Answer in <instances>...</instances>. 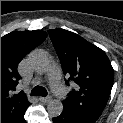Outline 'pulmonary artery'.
<instances>
[{
	"label": "pulmonary artery",
	"mask_w": 123,
	"mask_h": 123,
	"mask_svg": "<svg viewBox=\"0 0 123 123\" xmlns=\"http://www.w3.org/2000/svg\"><path fill=\"white\" fill-rule=\"evenodd\" d=\"M48 76L53 92L58 97L64 98L66 96V89L61 83L59 68L55 65L51 66L48 72Z\"/></svg>",
	"instance_id": "1"
}]
</instances>
